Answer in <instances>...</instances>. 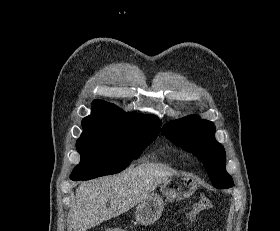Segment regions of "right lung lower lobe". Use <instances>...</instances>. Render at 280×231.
Returning <instances> with one entry per match:
<instances>
[{
    "label": "right lung lower lobe",
    "instance_id": "1",
    "mask_svg": "<svg viewBox=\"0 0 280 231\" xmlns=\"http://www.w3.org/2000/svg\"><path fill=\"white\" fill-rule=\"evenodd\" d=\"M70 179H71V180H74V181H77V180H83V179H82V178H80V177H71V176H70Z\"/></svg>",
    "mask_w": 280,
    "mask_h": 231
}]
</instances>
